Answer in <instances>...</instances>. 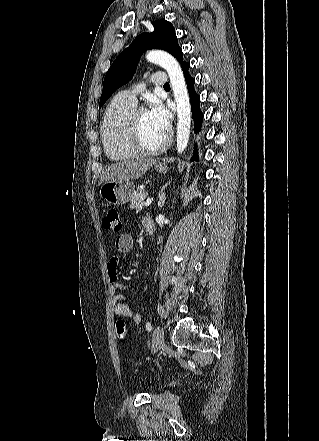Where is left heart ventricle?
Segmentation results:
<instances>
[{
  "label": "left heart ventricle",
  "mask_w": 319,
  "mask_h": 441,
  "mask_svg": "<svg viewBox=\"0 0 319 441\" xmlns=\"http://www.w3.org/2000/svg\"><path fill=\"white\" fill-rule=\"evenodd\" d=\"M140 136L143 144L148 148L159 146L166 138L154 125L148 112L140 114Z\"/></svg>",
  "instance_id": "obj_1"
}]
</instances>
